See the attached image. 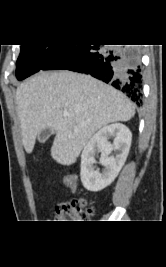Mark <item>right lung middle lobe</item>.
<instances>
[{"label": "right lung middle lobe", "mask_w": 166, "mask_h": 267, "mask_svg": "<svg viewBox=\"0 0 166 267\" xmlns=\"http://www.w3.org/2000/svg\"><path fill=\"white\" fill-rule=\"evenodd\" d=\"M59 44L21 45L16 62V77L23 80L38 72L61 49Z\"/></svg>", "instance_id": "obj_1"}]
</instances>
